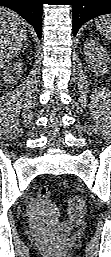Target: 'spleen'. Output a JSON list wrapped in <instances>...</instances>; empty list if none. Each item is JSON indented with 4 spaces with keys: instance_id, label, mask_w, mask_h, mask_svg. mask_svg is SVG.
<instances>
[{
    "instance_id": "3e777b00",
    "label": "spleen",
    "mask_w": 111,
    "mask_h": 257,
    "mask_svg": "<svg viewBox=\"0 0 111 257\" xmlns=\"http://www.w3.org/2000/svg\"><path fill=\"white\" fill-rule=\"evenodd\" d=\"M97 29L108 40H111V14L103 15L95 21Z\"/></svg>"
}]
</instances>
